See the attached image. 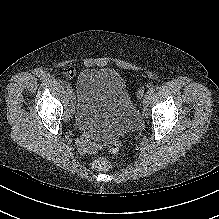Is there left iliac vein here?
Segmentation results:
<instances>
[{
	"label": "left iliac vein",
	"instance_id": "1",
	"mask_svg": "<svg viewBox=\"0 0 219 219\" xmlns=\"http://www.w3.org/2000/svg\"><path fill=\"white\" fill-rule=\"evenodd\" d=\"M141 96L143 97V101H142V111L143 113H146L147 112V107L149 105V100H150V95L149 94H145L143 95L141 93Z\"/></svg>",
	"mask_w": 219,
	"mask_h": 219
}]
</instances>
